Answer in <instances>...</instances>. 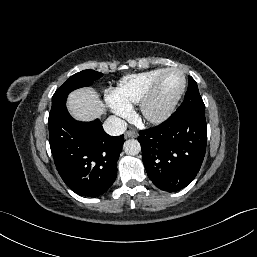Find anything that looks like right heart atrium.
Here are the masks:
<instances>
[{
  "mask_svg": "<svg viewBox=\"0 0 257 257\" xmlns=\"http://www.w3.org/2000/svg\"><path fill=\"white\" fill-rule=\"evenodd\" d=\"M112 104L113 111L116 115L123 119H129L131 117V109L121 107L115 104L113 101H110Z\"/></svg>",
  "mask_w": 257,
  "mask_h": 257,
  "instance_id": "d8ad5b80",
  "label": "right heart atrium"
}]
</instances>
